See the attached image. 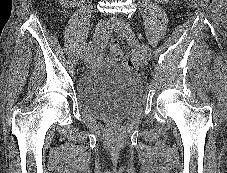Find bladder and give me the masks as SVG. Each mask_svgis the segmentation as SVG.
<instances>
[{"label":"bladder","mask_w":227,"mask_h":173,"mask_svg":"<svg viewBox=\"0 0 227 173\" xmlns=\"http://www.w3.org/2000/svg\"><path fill=\"white\" fill-rule=\"evenodd\" d=\"M77 100L86 113L106 121H119L140 105L143 82L124 64L94 66L82 73L76 85Z\"/></svg>","instance_id":"bladder-1"}]
</instances>
